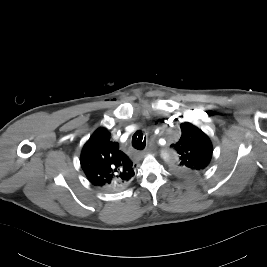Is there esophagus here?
Here are the masks:
<instances>
[{"label":"esophagus","instance_id":"34e87169","mask_svg":"<svg viewBox=\"0 0 267 267\" xmlns=\"http://www.w3.org/2000/svg\"><path fill=\"white\" fill-rule=\"evenodd\" d=\"M145 153H146L145 150L140 152L141 155H144Z\"/></svg>","mask_w":267,"mask_h":267}]
</instances>
